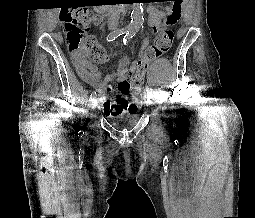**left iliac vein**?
I'll return each mask as SVG.
<instances>
[{
    "instance_id": "obj_1",
    "label": "left iliac vein",
    "mask_w": 255,
    "mask_h": 218,
    "mask_svg": "<svg viewBox=\"0 0 255 218\" xmlns=\"http://www.w3.org/2000/svg\"><path fill=\"white\" fill-rule=\"evenodd\" d=\"M144 100H145V103H146L147 105H149V106L152 105L151 101H150L146 96H145Z\"/></svg>"
}]
</instances>
